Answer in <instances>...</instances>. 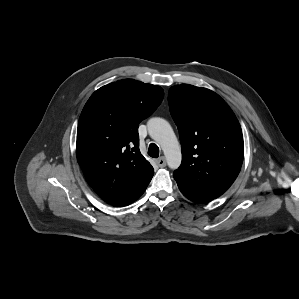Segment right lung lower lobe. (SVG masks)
<instances>
[{"instance_id": "obj_1", "label": "right lung lower lobe", "mask_w": 299, "mask_h": 299, "mask_svg": "<svg viewBox=\"0 0 299 299\" xmlns=\"http://www.w3.org/2000/svg\"><path fill=\"white\" fill-rule=\"evenodd\" d=\"M143 193H141L140 195H138L137 197L129 200V201H126L124 203H120V204H115L116 206H126V205H129L131 204L132 202L136 201Z\"/></svg>"}]
</instances>
